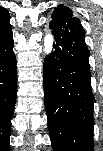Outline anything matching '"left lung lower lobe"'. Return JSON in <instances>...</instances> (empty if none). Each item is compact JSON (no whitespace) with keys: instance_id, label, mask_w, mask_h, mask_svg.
Returning <instances> with one entry per match:
<instances>
[{"instance_id":"obj_1","label":"left lung lower lobe","mask_w":103,"mask_h":151,"mask_svg":"<svg viewBox=\"0 0 103 151\" xmlns=\"http://www.w3.org/2000/svg\"><path fill=\"white\" fill-rule=\"evenodd\" d=\"M44 62L45 108L54 151H93L94 96L89 51L80 23L58 30Z\"/></svg>"}]
</instances>
